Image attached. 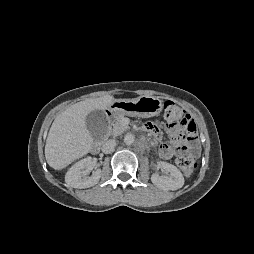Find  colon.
<instances>
[{
	"label": "colon",
	"mask_w": 254,
	"mask_h": 254,
	"mask_svg": "<svg viewBox=\"0 0 254 254\" xmlns=\"http://www.w3.org/2000/svg\"><path fill=\"white\" fill-rule=\"evenodd\" d=\"M164 116L169 128H180L185 131L184 139L188 141V154L178 157L177 164L186 176L192 175L197 167V126L190 114L173 102L164 104Z\"/></svg>",
	"instance_id": "1"
}]
</instances>
